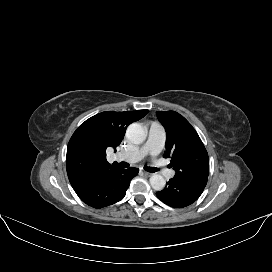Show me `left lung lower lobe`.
Returning <instances> with one entry per match:
<instances>
[{
    "instance_id": "0a47b994",
    "label": "left lung lower lobe",
    "mask_w": 272,
    "mask_h": 272,
    "mask_svg": "<svg viewBox=\"0 0 272 272\" xmlns=\"http://www.w3.org/2000/svg\"><path fill=\"white\" fill-rule=\"evenodd\" d=\"M206 184L207 178H172L162 191L156 192V195L171 207L183 208L199 198Z\"/></svg>"
}]
</instances>
